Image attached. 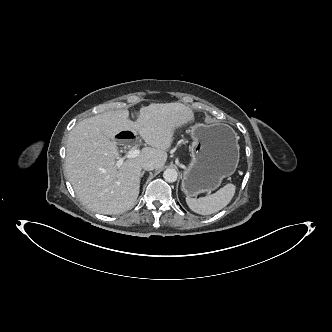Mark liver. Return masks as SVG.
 I'll list each match as a JSON object with an SVG mask.
<instances>
[{
	"instance_id": "6515ba94",
	"label": "liver",
	"mask_w": 332,
	"mask_h": 332,
	"mask_svg": "<svg viewBox=\"0 0 332 332\" xmlns=\"http://www.w3.org/2000/svg\"><path fill=\"white\" fill-rule=\"evenodd\" d=\"M139 112L133 122L128 110L108 111L82 120L69 133L65 159L68 179L80 201L97 213L130 210L139 195L142 164L152 160L157 169L162 168L175 130L194 121L192 111L177 102L152 103ZM125 130L138 131L149 147L117 167L113 138Z\"/></svg>"
}]
</instances>
